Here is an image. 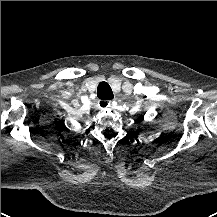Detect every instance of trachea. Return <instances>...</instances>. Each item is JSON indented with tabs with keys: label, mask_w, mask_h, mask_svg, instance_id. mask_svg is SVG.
Segmentation results:
<instances>
[{
	"label": "trachea",
	"mask_w": 217,
	"mask_h": 217,
	"mask_svg": "<svg viewBox=\"0 0 217 217\" xmlns=\"http://www.w3.org/2000/svg\"><path fill=\"white\" fill-rule=\"evenodd\" d=\"M97 96L99 99H102V100L113 99L114 95H113L112 89L107 82H101L98 85Z\"/></svg>",
	"instance_id": "1"
}]
</instances>
